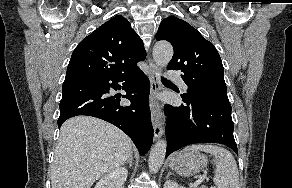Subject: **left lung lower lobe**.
<instances>
[{
	"label": "left lung lower lobe",
	"instance_id": "obj_1",
	"mask_svg": "<svg viewBox=\"0 0 292 188\" xmlns=\"http://www.w3.org/2000/svg\"><path fill=\"white\" fill-rule=\"evenodd\" d=\"M180 107L165 105L168 120L166 157L193 143H220L237 152L229 101L182 97Z\"/></svg>",
	"mask_w": 292,
	"mask_h": 188
}]
</instances>
